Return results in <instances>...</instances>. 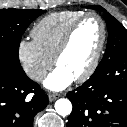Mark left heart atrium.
Here are the masks:
<instances>
[{
  "instance_id": "left-heart-atrium-1",
  "label": "left heart atrium",
  "mask_w": 127,
  "mask_h": 127,
  "mask_svg": "<svg viewBox=\"0 0 127 127\" xmlns=\"http://www.w3.org/2000/svg\"><path fill=\"white\" fill-rule=\"evenodd\" d=\"M75 78L61 67L53 70L44 80V86L52 91H60L69 86Z\"/></svg>"
}]
</instances>
